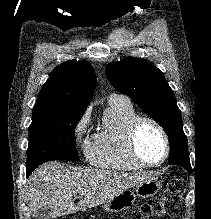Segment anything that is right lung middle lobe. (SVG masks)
Listing matches in <instances>:
<instances>
[{"mask_svg":"<svg viewBox=\"0 0 211 219\" xmlns=\"http://www.w3.org/2000/svg\"><path fill=\"white\" fill-rule=\"evenodd\" d=\"M83 113H55L46 106H34L29 127L27 176L50 160L78 161L75 127Z\"/></svg>","mask_w":211,"mask_h":219,"instance_id":"1","label":"right lung middle lobe"}]
</instances>
